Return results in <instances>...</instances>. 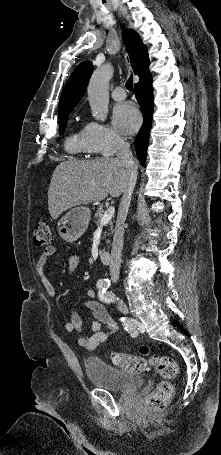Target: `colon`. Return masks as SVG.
I'll list each match as a JSON object with an SVG mask.
<instances>
[{
    "label": "colon",
    "mask_w": 221,
    "mask_h": 455,
    "mask_svg": "<svg viewBox=\"0 0 221 455\" xmlns=\"http://www.w3.org/2000/svg\"><path fill=\"white\" fill-rule=\"evenodd\" d=\"M33 240L37 247H50L53 242V232L50 225L46 222L37 224L34 229ZM141 353L148 356V359L120 352H114L111 357L113 363L126 372L141 373L151 366L163 378L167 379L160 382L145 401V407L162 410L173 397L174 386L169 380L177 377L178 365L170 356L150 355L149 349L145 346L141 347Z\"/></svg>",
    "instance_id": "1"
}]
</instances>
